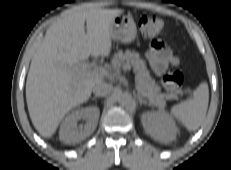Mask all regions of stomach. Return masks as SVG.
Wrapping results in <instances>:
<instances>
[{
    "mask_svg": "<svg viewBox=\"0 0 231 170\" xmlns=\"http://www.w3.org/2000/svg\"><path fill=\"white\" fill-rule=\"evenodd\" d=\"M137 34L136 24L130 15H119L113 20L111 26V39L123 43L134 41Z\"/></svg>",
    "mask_w": 231,
    "mask_h": 170,
    "instance_id": "obj_1",
    "label": "stomach"
}]
</instances>
